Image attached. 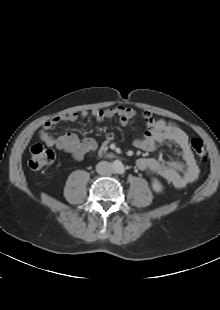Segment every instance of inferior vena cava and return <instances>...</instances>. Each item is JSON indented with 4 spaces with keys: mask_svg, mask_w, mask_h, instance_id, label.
Here are the masks:
<instances>
[{
    "mask_svg": "<svg viewBox=\"0 0 220 310\" xmlns=\"http://www.w3.org/2000/svg\"><path fill=\"white\" fill-rule=\"evenodd\" d=\"M96 171L100 175H108L113 172L112 164L107 161H101L96 165Z\"/></svg>",
    "mask_w": 220,
    "mask_h": 310,
    "instance_id": "inferior-vena-cava-1",
    "label": "inferior vena cava"
}]
</instances>
